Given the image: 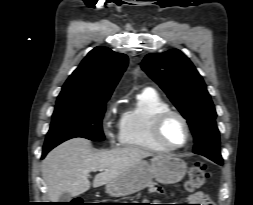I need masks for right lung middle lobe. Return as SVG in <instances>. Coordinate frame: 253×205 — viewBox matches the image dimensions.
Returning <instances> with one entry per match:
<instances>
[{
  "label": "right lung middle lobe",
  "instance_id": "dd1d6c3e",
  "mask_svg": "<svg viewBox=\"0 0 253 205\" xmlns=\"http://www.w3.org/2000/svg\"><path fill=\"white\" fill-rule=\"evenodd\" d=\"M107 100L57 102L44 148H54L74 137L95 141L104 140L101 122Z\"/></svg>",
  "mask_w": 253,
  "mask_h": 205
}]
</instances>
